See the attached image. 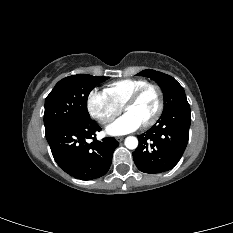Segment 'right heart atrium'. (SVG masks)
Instances as JSON below:
<instances>
[{
    "label": "right heart atrium",
    "mask_w": 233,
    "mask_h": 233,
    "mask_svg": "<svg viewBox=\"0 0 233 233\" xmlns=\"http://www.w3.org/2000/svg\"><path fill=\"white\" fill-rule=\"evenodd\" d=\"M86 105L90 116L102 125L111 122L121 112V107L111 102L103 92L91 91Z\"/></svg>",
    "instance_id": "obj_1"
}]
</instances>
